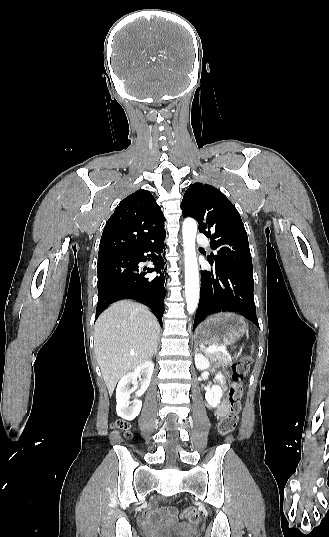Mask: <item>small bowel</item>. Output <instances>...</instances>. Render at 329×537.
I'll return each mask as SVG.
<instances>
[{"label":"small bowel","mask_w":329,"mask_h":537,"mask_svg":"<svg viewBox=\"0 0 329 537\" xmlns=\"http://www.w3.org/2000/svg\"><path fill=\"white\" fill-rule=\"evenodd\" d=\"M221 389L223 393L226 391V385L224 383H221ZM228 409L229 404L225 399H223L216 409L217 417L221 419L225 418ZM176 515V509L172 506L157 509L155 503H150L147 512V519L151 521L159 519L167 524H174L176 522Z\"/></svg>","instance_id":"1"}]
</instances>
